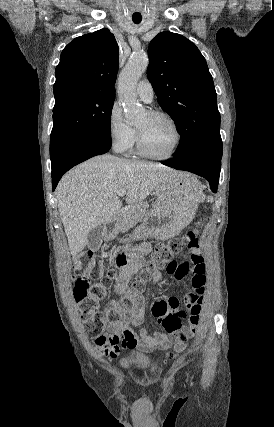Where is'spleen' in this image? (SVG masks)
Masks as SVG:
<instances>
[{
	"label": "spleen",
	"instance_id": "obj_1",
	"mask_svg": "<svg viewBox=\"0 0 274 427\" xmlns=\"http://www.w3.org/2000/svg\"><path fill=\"white\" fill-rule=\"evenodd\" d=\"M191 186H193V188H201V184L200 182H198V180H194V182H191ZM198 196L200 198L201 194H198ZM208 202H213L212 196H209Z\"/></svg>",
	"mask_w": 274,
	"mask_h": 427
}]
</instances>
